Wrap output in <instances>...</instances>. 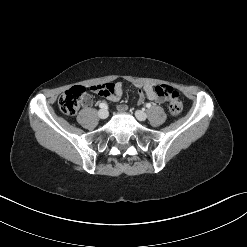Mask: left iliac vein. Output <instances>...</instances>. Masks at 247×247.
<instances>
[{
  "label": "left iliac vein",
  "instance_id": "1",
  "mask_svg": "<svg viewBox=\"0 0 247 247\" xmlns=\"http://www.w3.org/2000/svg\"><path fill=\"white\" fill-rule=\"evenodd\" d=\"M135 116L139 121H145L147 118V114L144 111L137 110L135 112Z\"/></svg>",
  "mask_w": 247,
  "mask_h": 247
}]
</instances>
